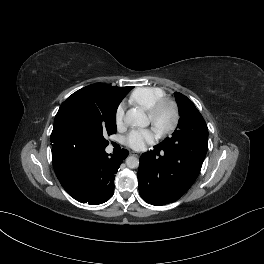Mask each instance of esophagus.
Returning a JSON list of instances; mask_svg holds the SVG:
<instances>
[{
  "label": "esophagus",
  "mask_w": 264,
  "mask_h": 264,
  "mask_svg": "<svg viewBox=\"0 0 264 264\" xmlns=\"http://www.w3.org/2000/svg\"><path fill=\"white\" fill-rule=\"evenodd\" d=\"M130 155L138 156V154L136 152H130Z\"/></svg>",
  "instance_id": "esophagus-1"
}]
</instances>
